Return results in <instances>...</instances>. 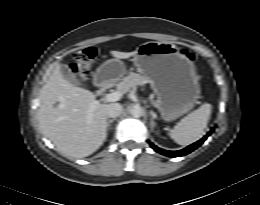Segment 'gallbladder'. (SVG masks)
Instances as JSON below:
<instances>
[{
	"label": "gallbladder",
	"instance_id": "gallbladder-1",
	"mask_svg": "<svg viewBox=\"0 0 260 205\" xmlns=\"http://www.w3.org/2000/svg\"><path fill=\"white\" fill-rule=\"evenodd\" d=\"M63 77L71 84L76 86H82L83 83L77 78L76 74L71 70L69 65L63 64L60 69Z\"/></svg>",
	"mask_w": 260,
	"mask_h": 205
}]
</instances>
